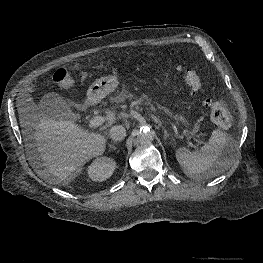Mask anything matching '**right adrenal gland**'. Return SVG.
Here are the masks:
<instances>
[{
	"label": "right adrenal gland",
	"instance_id": "right-adrenal-gland-1",
	"mask_svg": "<svg viewBox=\"0 0 263 263\" xmlns=\"http://www.w3.org/2000/svg\"><path fill=\"white\" fill-rule=\"evenodd\" d=\"M114 143H117V142H114ZM109 147L113 148V149H116V147L113 144H110Z\"/></svg>",
	"mask_w": 263,
	"mask_h": 263
}]
</instances>
